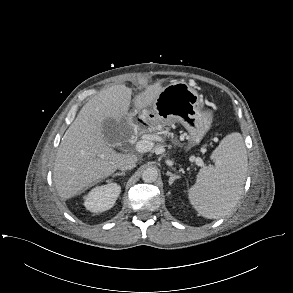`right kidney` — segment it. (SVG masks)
Here are the masks:
<instances>
[{"instance_id":"right-kidney-1","label":"right kidney","mask_w":293,"mask_h":293,"mask_svg":"<svg viewBox=\"0 0 293 293\" xmlns=\"http://www.w3.org/2000/svg\"><path fill=\"white\" fill-rule=\"evenodd\" d=\"M120 192L121 187L116 183L97 186L85 196L84 205L91 212H104L114 206Z\"/></svg>"}]
</instances>
